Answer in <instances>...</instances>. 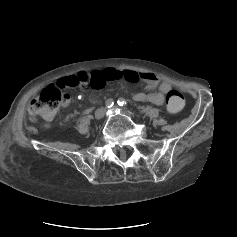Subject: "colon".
I'll return each mask as SVG.
<instances>
[{
  "label": "colon",
  "instance_id": "1",
  "mask_svg": "<svg viewBox=\"0 0 237 237\" xmlns=\"http://www.w3.org/2000/svg\"><path fill=\"white\" fill-rule=\"evenodd\" d=\"M98 76L89 78V75L80 74L58 82L57 85L49 86L29 105V114L32 120L41 118L49 121L59 110L60 106L70 96V89L74 87L87 88L98 84ZM167 109L171 113L179 112L184 106V97L176 90H170L166 98Z\"/></svg>",
  "mask_w": 237,
  "mask_h": 237
}]
</instances>
